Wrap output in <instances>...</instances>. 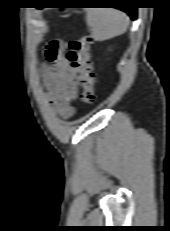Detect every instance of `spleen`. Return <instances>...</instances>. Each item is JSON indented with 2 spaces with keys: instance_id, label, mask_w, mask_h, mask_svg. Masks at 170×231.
I'll list each match as a JSON object with an SVG mask.
<instances>
[{
  "instance_id": "3e777b00",
  "label": "spleen",
  "mask_w": 170,
  "mask_h": 231,
  "mask_svg": "<svg viewBox=\"0 0 170 231\" xmlns=\"http://www.w3.org/2000/svg\"><path fill=\"white\" fill-rule=\"evenodd\" d=\"M86 22L91 28L92 38L96 41H105L121 35L129 25V19L125 13L105 8L87 10Z\"/></svg>"
}]
</instances>
